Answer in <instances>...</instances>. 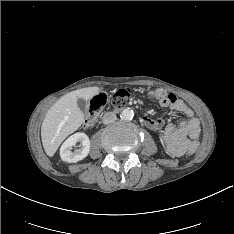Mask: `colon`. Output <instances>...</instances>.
Segmentation results:
<instances>
[{"mask_svg":"<svg viewBox=\"0 0 234 234\" xmlns=\"http://www.w3.org/2000/svg\"><path fill=\"white\" fill-rule=\"evenodd\" d=\"M130 94L131 91L128 88H123L117 90L110 98L109 104L112 108H123L125 107L129 101H130ZM148 97L153 98V99H159L161 97V93L159 91H150L148 92ZM108 103V98L106 94L104 93H99L95 95L91 101H90V108L89 112L84 120L83 126L85 128L91 127L97 116L99 115L100 111L106 106ZM201 145L200 140L195 139L191 143L190 146H188L187 151L184 152L183 157L186 160L191 159L192 154L195 153L196 150L199 149Z\"/></svg>","mask_w":234,"mask_h":234,"instance_id":"5ec220e1","label":"colon"}]
</instances>
